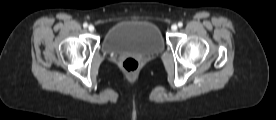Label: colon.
<instances>
[{"label": "colon", "mask_w": 276, "mask_h": 120, "mask_svg": "<svg viewBox=\"0 0 276 120\" xmlns=\"http://www.w3.org/2000/svg\"><path fill=\"white\" fill-rule=\"evenodd\" d=\"M124 72L130 76L135 75L139 69V62L134 57H127L122 62Z\"/></svg>", "instance_id": "5ec220e1"}]
</instances>
